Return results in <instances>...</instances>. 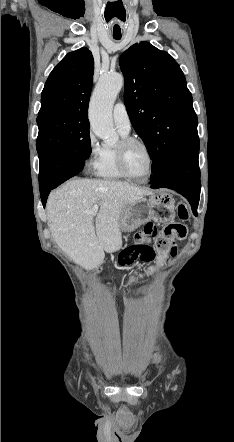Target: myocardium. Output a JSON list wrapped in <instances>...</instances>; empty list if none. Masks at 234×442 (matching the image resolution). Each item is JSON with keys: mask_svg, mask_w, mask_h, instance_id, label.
I'll use <instances>...</instances> for the list:
<instances>
[{"mask_svg": "<svg viewBox=\"0 0 234 442\" xmlns=\"http://www.w3.org/2000/svg\"><path fill=\"white\" fill-rule=\"evenodd\" d=\"M134 144H137V145H140L141 147H143L147 153V156H148L149 170H148L147 175L144 177L134 176L133 174L130 173V171L128 170V167H127L126 153H127L128 148ZM115 150H116V159H117L118 168L126 178L134 180L136 182H140V183L146 182L151 178L153 171H154V157H153V153H152L149 145L146 142H144L143 140H141L139 138H135V137H124L121 139L119 144L116 146Z\"/></svg>", "mask_w": 234, "mask_h": 442, "instance_id": "myocardium-1", "label": "myocardium"}]
</instances>
